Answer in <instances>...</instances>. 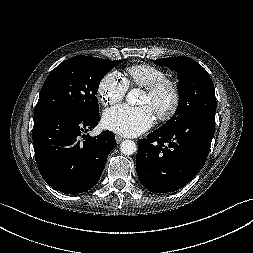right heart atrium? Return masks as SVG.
<instances>
[{
  "instance_id": "1",
  "label": "right heart atrium",
  "mask_w": 253,
  "mask_h": 253,
  "mask_svg": "<svg viewBox=\"0 0 253 253\" xmlns=\"http://www.w3.org/2000/svg\"><path fill=\"white\" fill-rule=\"evenodd\" d=\"M128 86L124 79L114 71L106 73L99 81L97 95L104 106H113L126 95Z\"/></svg>"
}]
</instances>
